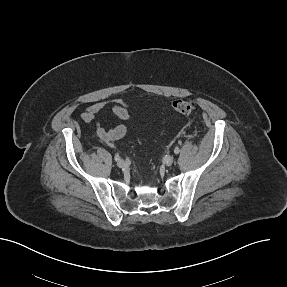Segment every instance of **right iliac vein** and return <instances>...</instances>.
<instances>
[{"label":"right iliac vein","mask_w":287,"mask_h":287,"mask_svg":"<svg viewBox=\"0 0 287 287\" xmlns=\"http://www.w3.org/2000/svg\"><path fill=\"white\" fill-rule=\"evenodd\" d=\"M117 166H118L119 168H124V167L126 166V163H125L123 160H119V161L117 162Z\"/></svg>","instance_id":"obj_1"}]
</instances>
